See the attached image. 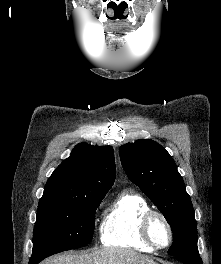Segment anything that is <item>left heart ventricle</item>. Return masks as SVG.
Listing matches in <instances>:
<instances>
[{
	"instance_id": "1",
	"label": "left heart ventricle",
	"mask_w": 221,
	"mask_h": 264,
	"mask_svg": "<svg viewBox=\"0 0 221 264\" xmlns=\"http://www.w3.org/2000/svg\"><path fill=\"white\" fill-rule=\"evenodd\" d=\"M151 233L155 242L159 245L167 243L169 234L166 226L159 218H154L151 225Z\"/></svg>"
}]
</instances>
